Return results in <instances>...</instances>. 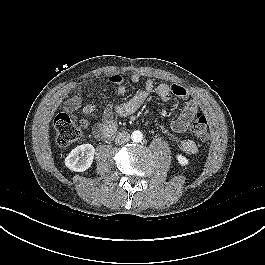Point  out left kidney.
Here are the masks:
<instances>
[{
	"label": "left kidney",
	"instance_id": "obj_1",
	"mask_svg": "<svg viewBox=\"0 0 265 265\" xmlns=\"http://www.w3.org/2000/svg\"><path fill=\"white\" fill-rule=\"evenodd\" d=\"M176 158H177V160H178V163L181 165V166H185V165H188V159L185 157V156H183V155H181V154H178L177 156H176Z\"/></svg>",
	"mask_w": 265,
	"mask_h": 265
}]
</instances>
